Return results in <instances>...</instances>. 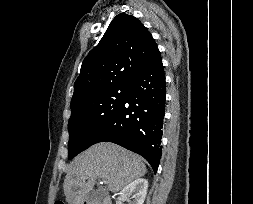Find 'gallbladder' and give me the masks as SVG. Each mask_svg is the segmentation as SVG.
<instances>
[{"instance_id":"1","label":"gallbladder","mask_w":253,"mask_h":204,"mask_svg":"<svg viewBox=\"0 0 253 204\" xmlns=\"http://www.w3.org/2000/svg\"><path fill=\"white\" fill-rule=\"evenodd\" d=\"M102 191L101 190H96L92 193H90L88 195V198L91 199V200H94V199H101L102 198Z\"/></svg>"}]
</instances>
